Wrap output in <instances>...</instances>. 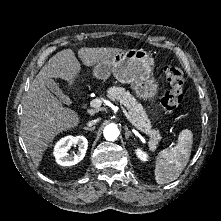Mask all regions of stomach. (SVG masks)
<instances>
[{
    "label": "stomach",
    "instance_id": "stomach-1",
    "mask_svg": "<svg viewBox=\"0 0 221 221\" xmlns=\"http://www.w3.org/2000/svg\"><path fill=\"white\" fill-rule=\"evenodd\" d=\"M154 59L143 49L122 50L111 58L99 61L93 67V76L106 80L111 74L123 84H130L137 97L153 99L158 83L153 77Z\"/></svg>",
    "mask_w": 221,
    "mask_h": 221
}]
</instances>
